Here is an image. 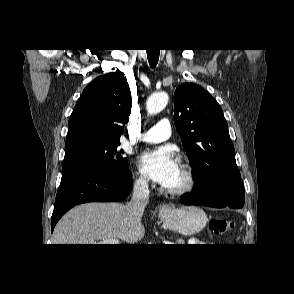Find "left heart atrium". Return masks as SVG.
<instances>
[{
	"instance_id": "39dd6f15",
	"label": "left heart atrium",
	"mask_w": 294,
	"mask_h": 294,
	"mask_svg": "<svg viewBox=\"0 0 294 294\" xmlns=\"http://www.w3.org/2000/svg\"><path fill=\"white\" fill-rule=\"evenodd\" d=\"M139 167L145 176L166 186L174 176L178 164L169 149L160 148L144 152L139 157Z\"/></svg>"
}]
</instances>
